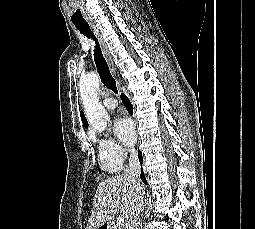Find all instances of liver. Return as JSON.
Returning <instances> with one entry per match:
<instances>
[{
	"label": "liver",
	"mask_w": 255,
	"mask_h": 229,
	"mask_svg": "<svg viewBox=\"0 0 255 229\" xmlns=\"http://www.w3.org/2000/svg\"><path fill=\"white\" fill-rule=\"evenodd\" d=\"M133 195V184L123 176L117 175L103 180L94 196L87 229L103 226L119 211L126 221Z\"/></svg>",
	"instance_id": "6515ba94"
}]
</instances>
